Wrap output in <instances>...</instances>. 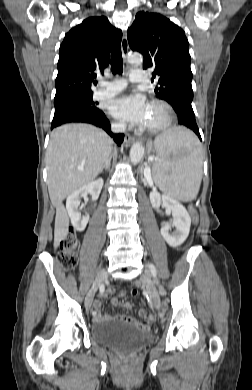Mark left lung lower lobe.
I'll use <instances>...</instances> for the list:
<instances>
[{
  "instance_id": "0a47b994",
  "label": "left lung lower lobe",
  "mask_w": 252,
  "mask_h": 390,
  "mask_svg": "<svg viewBox=\"0 0 252 390\" xmlns=\"http://www.w3.org/2000/svg\"><path fill=\"white\" fill-rule=\"evenodd\" d=\"M173 109L178 116V124L193 130L201 140L191 104L187 102H180L177 103Z\"/></svg>"
}]
</instances>
